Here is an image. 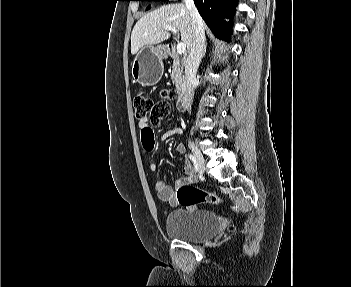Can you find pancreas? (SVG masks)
<instances>
[{
  "label": "pancreas",
  "instance_id": "pancreas-1",
  "mask_svg": "<svg viewBox=\"0 0 351 287\" xmlns=\"http://www.w3.org/2000/svg\"><path fill=\"white\" fill-rule=\"evenodd\" d=\"M171 78L177 92H182L185 89V78L183 76L182 62L177 55H173Z\"/></svg>",
  "mask_w": 351,
  "mask_h": 287
}]
</instances>
